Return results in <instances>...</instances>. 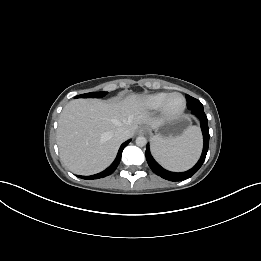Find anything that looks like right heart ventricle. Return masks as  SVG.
Masks as SVG:
<instances>
[{"label":"right heart ventricle","mask_w":261,"mask_h":261,"mask_svg":"<svg viewBox=\"0 0 261 261\" xmlns=\"http://www.w3.org/2000/svg\"><path fill=\"white\" fill-rule=\"evenodd\" d=\"M168 93L159 92L145 96L141 100V105L148 110L156 111L159 110L167 97Z\"/></svg>","instance_id":"1"}]
</instances>
